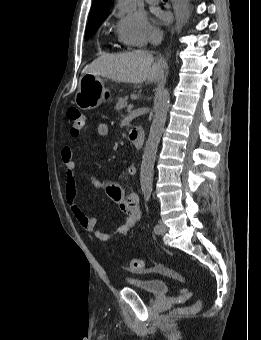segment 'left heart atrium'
Returning <instances> with one entry per match:
<instances>
[{
	"mask_svg": "<svg viewBox=\"0 0 261 340\" xmlns=\"http://www.w3.org/2000/svg\"><path fill=\"white\" fill-rule=\"evenodd\" d=\"M158 18H159L160 20H162V19H163V15H162V14H158Z\"/></svg>",
	"mask_w": 261,
	"mask_h": 340,
	"instance_id": "left-heart-atrium-1",
	"label": "left heart atrium"
}]
</instances>
